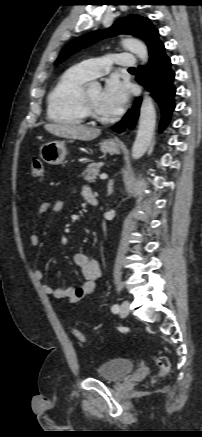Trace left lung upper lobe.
I'll return each instance as SVG.
<instances>
[{"label": "left lung upper lobe", "instance_id": "1", "mask_svg": "<svg viewBox=\"0 0 202 437\" xmlns=\"http://www.w3.org/2000/svg\"><path fill=\"white\" fill-rule=\"evenodd\" d=\"M118 32L131 34L144 40L148 46L149 54H151L153 50L162 43L158 38V30L151 24L148 18L138 15H129L126 18L116 21L108 30L94 31L72 40L64 47L55 65L60 64L80 49L85 48L102 38L114 36Z\"/></svg>", "mask_w": 202, "mask_h": 437}]
</instances>
